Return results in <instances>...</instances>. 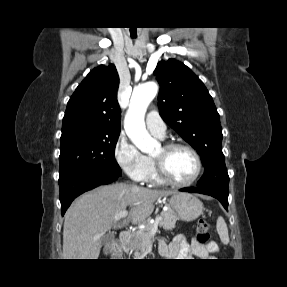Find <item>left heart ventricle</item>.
Returning a JSON list of instances; mask_svg holds the SVG:
<instances>
[{"label": "left heart ventricle", "mask_w": 287, "mask_h": 287, "mask_svg": "<svg viewBox=\"0 0 287 287\" xmlns=\"http://www.w3.org/2000/svg\"><path fill=\"white\" fill-rule=\"evenodd\" d=\"M153 156L163 159L169 175L176 181L186 182L196 172L195 158L188 150L175 149L169 153H165L162 147H159Z\"/></svg>", "instance_id": "b2bd125f"}]
</instances>
